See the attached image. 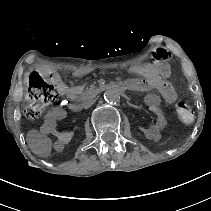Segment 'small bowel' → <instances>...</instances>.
Returning <instances> with one entry per match:
<instances>
[{
    "mask_svg": "<svg viewBox=\"0 0 211 211\" xmlns=\"http://www.w3.org/2000/svg\"><path fill=\"white\" fill-rule=\"evenodd\" d=\"M144 73V76L135 79L138 83L137 90H156L158 94H148L145 97V103L154 117V122L142 127V131L147 138L157 139L167 123L165 115L160 107L161 99L167 103H173L176 100L177 95L173 86L153 70H145ZM47 77L55 84L59 95L62 97L73 99L80 91L79 86L67 85L56 73H47ZM41 131L45 134H51L56 138L55 146L58 149L62 148L70 140L68 132H63L58 129L56 112H51L46 116Z\"/></svg>",
    "mask_w": 211,
    "mask_h": 211,
    "instance_id": "obj_1",
    "label": "small bowel"
}]
</instances>
